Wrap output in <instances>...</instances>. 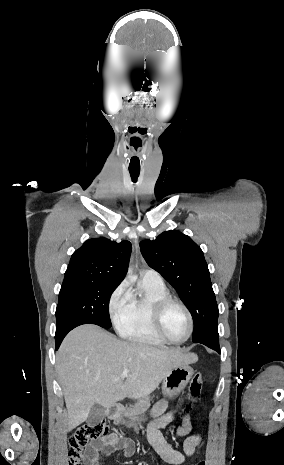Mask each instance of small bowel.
Wrapping results in <instances>:
<instances>
[{"label":"small bowel","instance_id":"obj_1","mask_svg":"<svg viewBox=\"0 0 284 465\" xmlns=\"http://www.w3.org/2000/svg\"><path fill=\"white\" fill-rule=\"evenodd\" d=\"M167 401L165 399L156 403L152 411V420L147 428L148 440L155 450L168 462L174 465H182L186 458L195 453L196 448L202 441L200 433L190 435L183 444V451L173 449L165 440L161 429L166 427L174 418L176 409L166 412ZM191 430V424L186 420L177 430L180 436L187 435ZM121 449L124 457H131L135 453V446L132 440L120 438L117 434L112 433L100 441L88 455L87 460L90 465H98V460L109 455L113 450ZM194 465H206L204 461H197Z\"/></svg>","mask_w":284,"mask_h":465}]
</instances>
